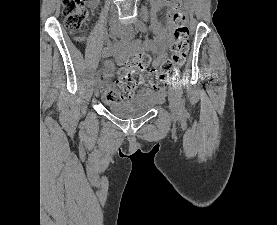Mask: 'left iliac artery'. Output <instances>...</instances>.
Masks as SVG:
<instances>
[{"label":"left iliac artery","mask_w":277,"mask_h":225,"mask_svg":"<svg viewBox=\"0 0 277 225\" xmlns=\"http://www.w3.org/2000/svg\"><path fill=\"white\" fill-rule=\"evenodd\" d=\"M136 27L141 31V32H147V27L146 25L138 20L137 23H136ZM174 86L179 94V97H180V104H181V109L183 111H185V99H184V92H183V88H182V83L181 81L177 78L174 82Z\"/></svg>","instance_id":"44dca946"}]
</instances>
